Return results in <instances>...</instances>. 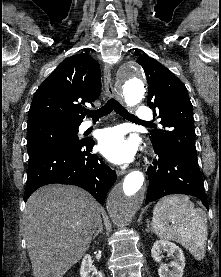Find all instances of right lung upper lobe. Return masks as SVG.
Instances as JSON below:
<instances>
[{
    "mask_svg": "<svg viewBox=\"0 0 221 277\" xmlns=\"http://www.w3.org/2000/svg\"><path fill=\"white\" fill-rule=\"evenodd\" d=\"M100 92L98 62L84 54L68 57L35 92L28 125L45 122L80 125L85 118L83 105L92 104Z\"/></svg>",
    "mask_w": 221,
    "mask_h": 277,
    "instance_id": "obj_1",
    "label": "right lung upper lobe"
}]
</instances>
